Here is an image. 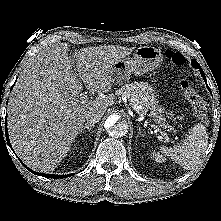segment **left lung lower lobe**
I'll use <instances>...</instances> for the list:
<instances>
[{
	"label": "left lung lower lobe",
	"instance_id": "obj_1",
	"mask_svg": "<svg viewBox=\"0 0 221 221\" xmlns=\"http://www.w3.org/2000/svg\"><path fill=\"white\" fill-rule=\"evenodd\" d=\"M200 69V68H199ZM200 73L202 75V77L204 78V81L207 83V80H206V77H205V74L203 72V70L200 69ZM208 86V85H207Z\"/></svg>",
	"mask_w": 221,
	"mask_h": 221
}]
</instances>
